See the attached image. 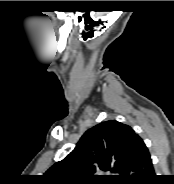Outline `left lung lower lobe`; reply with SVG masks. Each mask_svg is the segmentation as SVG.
Segmentation results:
<instances>
[{
  "label": "left lung lower lobe",
  "instance_id": "1",
  "mask_svg": "<svg viewBox=\"0 0 174 184\" xmlns=\"http://www.w3.org/2000/svg\"><path fill=\"white\" fill-rule=\"evenodd\" d=\"M131 173V175H130ZM154 178V169L149 151L143 140L137 143L126 168L123 181L131 184L151 183Z\"/></svg>",
  "mask_w": 174,
  "mask_h": 184
}]
</instances>
